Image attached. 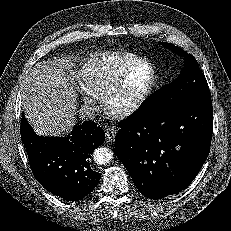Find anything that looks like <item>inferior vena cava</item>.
Here are the masks:
<instances>
[{"label":"inferior vena cava","instance_id":"inferior-vena-cava-1","mask_svg":"<svg viewBox=\"0 0 231 231\" xmlns=\"http://www.w3.org/2000/svg\"><path fill=\"white\" fill-rule=\"evenodd\" d=\"M79 117L84 121H92L96 117L95 110L90 106H81V108L79 109Z\"/></svg>","mask_w":231,"mask_h":231}]
</instances>
